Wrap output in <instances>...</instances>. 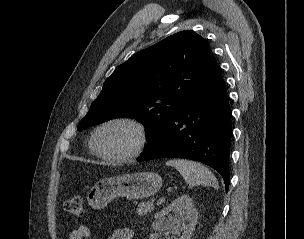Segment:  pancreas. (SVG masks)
Wrapping results in <instances>:
<instances>
[{"mask_svg": "<svg viewBox=\"0 0 304 239\" xmlns=\"http://www.w3.org/2000/svg\"><path fill=\"white\" fill-rule=\"evenodd\" d=\"M153 210H154L153 202L149 201L147 203L139 204L136 211L139 216H143L149 212H152Z\"/></svg>", "mask_w": 304, "mask_h": 239, "instance_id": "obj_1", "label": "pancreas"}]
</instances>
